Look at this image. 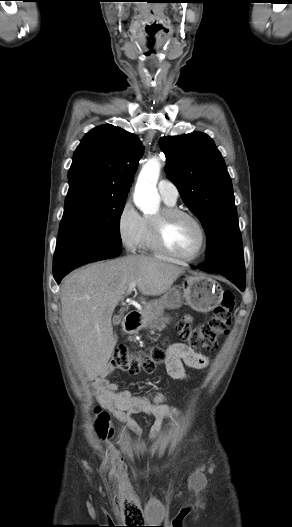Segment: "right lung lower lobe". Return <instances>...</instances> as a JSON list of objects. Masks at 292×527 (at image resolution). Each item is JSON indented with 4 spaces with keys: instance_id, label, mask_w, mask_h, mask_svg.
I'll return each mask as SVG.
<instances>
[{
    "instance_id": "obj_1",
    "label": "right lung lower lobe",
    "mask_w": 292,
    "mask_h": 527,
    "mask_svg": "<svg viewBox=\"0 0 292 527\" xmlns=\"http://www.w3.org/2000/svg\"><path fill=\"white\" fill-rule=\"evenodd\" d=\"M121 253L120 246L101 239H58L53 262L54 279L60 283L65 275L83 264L114 258Z\"/></svg>"
}]
</instances>
